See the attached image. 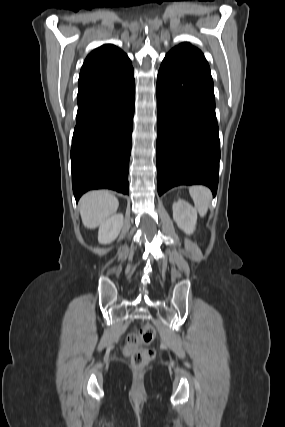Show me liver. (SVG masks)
<instances>
[{"instance_id":"obj_1","label":"liver","mask_w":285,"mask_h":427,"mask_svg":"<svg viewBox=\"0 0 285 427\" xmlns=\"http://www.w3.org/2000/svg\"><path fill=\"white\" fill-rule=\"evenodd\" d=\"M118 207V199L108 191L88 192L79 202L82 223L85 227L94 229L115 214Z\"/></svg>"}]
</instances>
